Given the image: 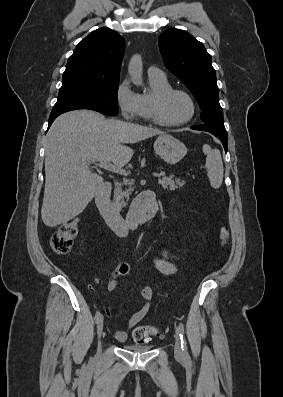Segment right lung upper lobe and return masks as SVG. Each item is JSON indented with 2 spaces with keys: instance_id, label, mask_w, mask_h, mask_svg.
<instances>
[{
  "instance_id": "cb5924a9",
  "label": "right lung upper lobe",
  "mask_w": 283,
  "mask_h": 397,
  "mask_svg": "<svg viewBox=\"0 0 283 397\" xmlns=\"http://www.w3.org/2000/svg\"><path fill=\"white\" fill-rule=\"evenodd\" d=\"M125 40L117 32L99 28L76 46L69 57L66 73H78L101 78H119Z\"/></svg>"
}]
</instances>
